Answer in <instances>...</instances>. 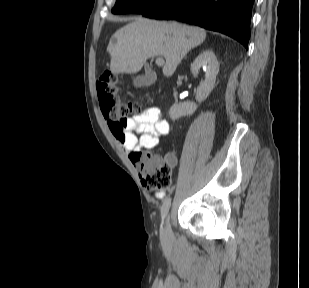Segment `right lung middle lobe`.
I'll use <instances>...</instances> for the list:
<instances>
[{
    "label": "right lung middle lobe",
    "instance_id": "obj_1",
    "mask_svg": "<svg viewBox=\"0 0 309 288\" xmlns=\"http://www.w3.org/2000/svg\"><path fill=\"white\" fill-rule=\"evenodd\" d=\"M164 0H116V4L112 9L113 14L138 13L142 14L145 11L157 6Z\"/></svg>",
    "mask_w": 309,
    "mask_h": 288
}]
</instances>
